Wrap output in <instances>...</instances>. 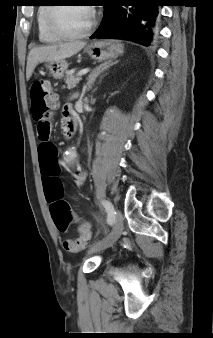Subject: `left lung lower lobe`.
I'll use <instances>...</instances> for the list:
<instances>
[{
	"instance_id": "0a47b994",
	"label": "left lung lower lobe",
	"mask_w": 213,
	"mask_h": 338,
	"mask_svg": "<svg viewBox=\"0 0 213 338\" xmlns=\"http://www.w3.org/2000/svg\"><path fill=\"white\" fill-rule=\"evenodd\" d=\"M159 0H107L100 27L90 38L124 39L149 46L158 34Z\"/></svg>"
}]
</instances>
